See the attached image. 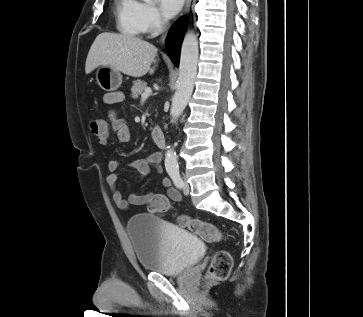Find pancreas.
<instances>
[{
	"label": "pancreas",
	"instance_id": "1",
	"mask_svg": "<svg viewBox=\"0 0 363 317\" xmlns=\"http://www.w3.org/2000/svg\"><path fill=\"white\" fill-rule=\"evenodd\" d=\"M147 88V83L141 80H137L133 82V86L131 88V97L133 99H137L139 95L143 93V91Z\"/></svg>",
	"mask_w": 363,
	"mask_h": 317
}]
</instances>
